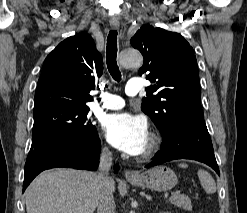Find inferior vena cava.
<instances>
[{"mask_svg": "<svg viewBox=\"0 0 247 213\" xmlns=\"http://www.w3.org/2000/svg\"><path fill=\"white\" fill-rule=\"evenodd\" d=\"M112 160V153L104 148L100 154L97 172L100 183L97 213H115V203L111 191L112 178L109 176Z\"/></svg>", "mask_w": 247, "mask_h": 213, "instance_id": "inferior-vena-cava-1", "label": "inferior vena cava"}]
</instances>
